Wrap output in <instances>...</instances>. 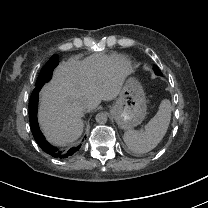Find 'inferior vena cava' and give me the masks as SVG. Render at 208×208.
I'll return each mask as SVG.
<instances>
[{
    "label": "inferior vena cava",
    "instance_id": "602c4592",
    "mask_svg": "<svg viewBox=\"0 0 208 208\" xmlns=\"http://www.w3.org/2000/svg\"><path fill=\"white\" fill-rule=\"evenodd\" d=\"M85 107V105H82V108H84Z\"/></svg>",
    "mask_w": 208,
    "mask_h": 208
}]
</instances>
